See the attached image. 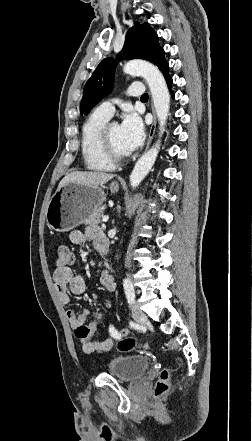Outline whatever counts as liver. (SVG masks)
Segmentation results:
<instances>
[{"label":"liver","instance_id":"1","mask_svg":"<svg viewBox=\"0 0 252 441\" xmlns=\"http://www.w3.org/2000/svg\"><path fill=\"white\" fill-rule=\"evenodd\" d=\"M114 177L113 174L95 171H74L67 174L59 183L58 188L68 183H75L87 186H103Z\"/></svg>","mask_w":252,"mask_h":441}]
</instances>
